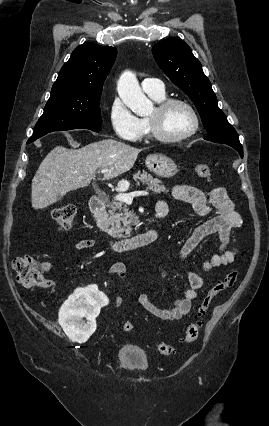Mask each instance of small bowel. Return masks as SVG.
Segmentation results:
<instances>
[{
    "label": "small bowel",
    "instance_id": "obj_1",
    "mask_svg": "<svg viewBox=\"0 0 269 426\" xmlns=\"http://www.w3.org/2000/svg\"><path fill=\"white\" fill-rule=\"evenodd\" d=\"M171 195L176 200L190 204L196 214L201 217H208L212 210L216 211L215 216L206 218L204 222L192 231L182 246L180 259L183 261L187 258L204 238L216 234L221 241L220 250L204 264V270L210 272L217 267L233 263L238 255V249L230 248L231 232L233 229L242 226L243 219L235 210L234 204L226 190L218 187L208 192H203L193 186L176 185L171 188ZM158 207L166 208L165 202L158 201L156 209ZM94 246V239H82L74 243V248L77 250L90 249ZM42 269L44 272L51 271L52 263L49 260L42 262ZM158 271L160 275H164L165 273L161 266L158 267ZM108 273L122 280H125L127 277L126 266L122 262L113 263L109 267ZM187 278L189 287L186 289L184 296L178 298L171 307L162 308L158 306L152 301L149 295L144 293L140 294L137 298L139 305L160 320L174 321L181 319L190 312L192 303L198 297V291L204 286L206 281L204 277L192 272L187 273ZM53 286L54 282L46 279L42 287L51 289ZM114 303L117 307H122L124 299L117 296L114 299Z\"/></svg>",
    "mask_w": 269,
    "mask_h": 426
}]
</instances>
